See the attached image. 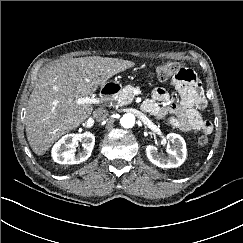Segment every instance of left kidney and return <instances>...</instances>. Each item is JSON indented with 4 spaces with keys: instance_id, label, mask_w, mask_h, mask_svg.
<instances>
[{
    "instance_id": "1",
    "label": "left kidney",
    "mask_w": 243,
    "mask_h": 243,
    "mask_svg": "<svg viewBox=\"0 0 243 243\" xmlns=\"http://www.w3.org/2000/svg\"><path fill=\"white\" fill-rule=\"evenodd\" d=\"M168 143L166 152L168 156H163L158 153L157 148L153 145L146 147V155L149 161L161 168H176L182 165L186 159V143L182 136L176 133L167 135Z\"/></svg>"
}]
</instances>
